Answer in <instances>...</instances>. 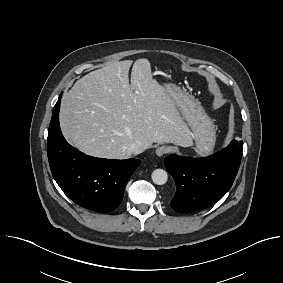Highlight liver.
Instances as JSON below:
<instances>
[{
	"label": "liver",
	"instance_id": "liver-1",
	"mask_svg": "<svg viewBox=\"0 0 283 283\" xmlns=\"http://www.w3.org/2000/svg\"><path fill=\"white\" fill-rule=\"evenodd\" d=\"M113 62L77 80L63 95L60 126L83 153L128 159L129 145H193V136L167 89L152 77L147 59Z\"/></svg>",
	"mask_w": 283,
	"mask_h": 283
}]
</instances>
